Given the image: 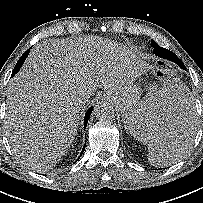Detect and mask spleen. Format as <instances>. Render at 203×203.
I'll return each instance as SVG.
<instances>
[{
    "mask_svg": "<svg viewBox=\"0 0 203 203\" xmlns=\"http://www.w3.org/2000/svg\"><path fill=\"white\" fill-rule=\"evenodd\" d=\"M194 103L189 88L182 82H165L164 86L140 103L130 116V133L140 142L148 144V160L151 165L165 167L178 161L191 148L195 124ZM168 112L186 121L188 133L179 139L170 138L157 144L154 132L157 130L162 116ZM157 117V125L154 117ZM136 129V131H135ZM141 131V133L137 131ZM149 140H145L146 137Z\"/></svg>",
    "mask_w": 203,
    "mask_h": 203,
    "instance_id": "spleen-1",
    "label": "spleen"
}]
</instances>
